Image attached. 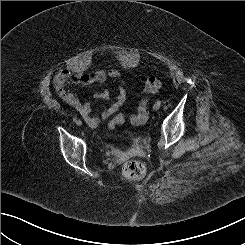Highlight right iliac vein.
Instances as JSON below:
<instances>
[{"instance_id": "1", "label": "right iliac vein", "mask_w": 245, "mask_h": 245, "mask_svg": "<svg viewBox=\"0 0 245 245\" xmlns=\"http://www.w3.org/2000/svg\"><path fill=\"white\" fill-rule=\"evenodd\" d=\"M76 124H77L78 126H81V125H82V121H81V120H77Z\"/></svg>"}]
</instances>
